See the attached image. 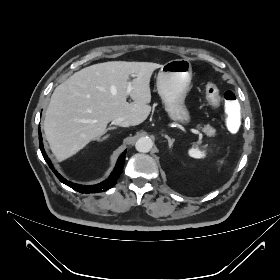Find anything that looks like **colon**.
<instances>
[{
	"label": "colon",
	"mask_w": 280,
	"mask_h": 280,
	"mask_svg": "<svg viewBox=\"0 0 280 280\" xmlns=\"http://www.w3.org/2000/svg\"><path fill=\"white\" fill-rule=\"evenodd\" d=\"M205 97L209 104L216 106L220 101L219 89L215 84L208 83L205 86ZM223 100L226 110L228 111V120L226 127L232 132H237L241 128L242 117L241 108L237 102L236 93L232 90H227L223 93Z\"/></svg>",
	"instance_id": "5ec220e1"
}]
</instances>
